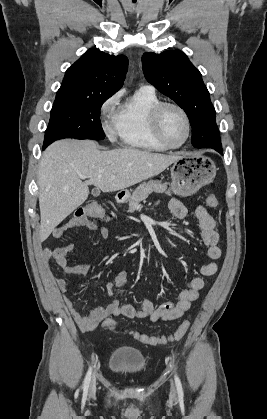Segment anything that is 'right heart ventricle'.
<instances>
[{
    "label": "right heart ventricle",
    "mask_w": 267,
    "mask_h": 419,
    "mask_svg": "<svg viewBox=\"0 0 267 419\" xmlns=\"http://www.w3.org/2000/svg\"><path fill=\"white\" fill-rule=\"evenodd\" d=\"M161 101L151 87H140L120 106L114 116L115 132L121 141L132 148L163 152V146L154 136L150 115Z\"/></svg>",
    "instance_id": "right-heart-ventricle-1"
}]
</instances>
